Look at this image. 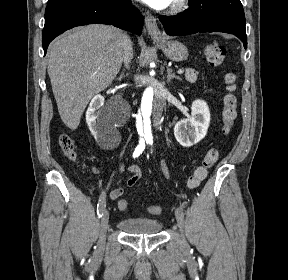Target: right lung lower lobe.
Wrapping results in <instances>:
<instances>
[{
    "mask_svg": "<svg viewBox=\"0 0 288 280\" xmlns=\"http://www.w3.org/2000/svg\"><path fill=\"white\" fill-rule=\"evenodd\" d=\"M92 23L114 25L140 35L143 17L131 0H49L42 33L44 55L59 34Z\"/></svg>",
    "mask_w": 288,
    "mask_h": 280,
    "instance_id": "right-lung-lower-lobe-1",
    "label": "right lung lower lobe"
}]
</instances>
